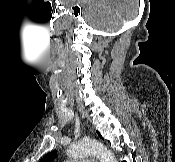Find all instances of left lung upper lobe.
I'll list each match as a JSON object with an SVG mask.
<instances>
[{"label":"left lung upper lobe","instance_id":"left-lung-upper-lobe-1","mask_svg":"<svg viewBox=\"0 0 175 162\" xmlns=\"http://www.w3.org/2000/svg\"><path fill=\"white\" fill-rule=\"evenodd\" d=\"M97 133H98L99 137L102 138V136L100 135V133L98 131H97ZM56 154H57V151H52V152L48 153L46 156H44L39 162H52L53 159L55 158Z\"/></svg>","mask_w":175,"mask_h":162}]
</instances>
